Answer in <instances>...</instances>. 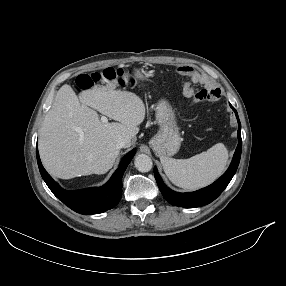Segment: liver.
<instances>
[{
	"instance_id": "obj_1",
	"label": "liver",
	"mask_w": 286,
	"mask_h": 286,
	"mask_svg": "<svg viewBox=\"0 0 286 286\" xmlns=\"http://www.w3.org/2000/svg\"><path fill=\"white\" fill-rule=\"evenodd\" d=\"M96 110L117 122L100 121ZM145 113L142 99L132 92L94 87L77 97L63 85L39 134L44 167L61 179L106 173L119 154L117 140L126 139L130 147Z\"/></svg>"
}]
</instances>
